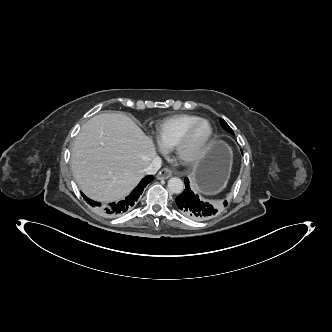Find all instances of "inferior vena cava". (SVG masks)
<instances>
[{
  "label": "inferior vena cava",
  "instance_id": "inferior-vena-cava-1",
  "mask_svg": "<svg viewBox=\"0 0 332 332\" xmlns=\"http://www.w3.org/2000/svg\"><path fill=\"white\" fill-rule=\"evenodd\" d=\"M162 160L160 157L155 156L151 163L144 169L145 173L148 175H154L161 168Z\"/></svg>",
  "mask_w": 332,
  "mask_h": 332
}]
</instances>
